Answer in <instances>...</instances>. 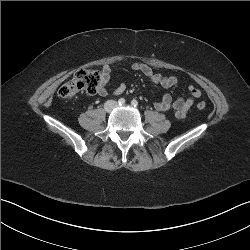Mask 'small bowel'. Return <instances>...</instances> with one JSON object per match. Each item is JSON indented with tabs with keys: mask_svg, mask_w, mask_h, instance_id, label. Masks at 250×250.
Wrapping results in <instances>:
<instances>
[{
	"mask_svg": "<svg viewBox=\"0 0 250 250\" xmlns=\"http://www.w3.org/2000/svg\"><path fill=\"white\" fill-rule=\"evenodd\" d=\"M131 69L146 76L152 86L161 85L164 88H171L176 86L178 83L177 77L165 76L163 74L156 73L150 66L144 63H134L131 65ZM111 73V67L109 65H104L101 70L102 82L96 91L101 97L108 95L106 85L111 81ZM125 89V84L121 83L113 90L112 94L118 96L122 94ZM200 95V90L197 87L191 85L188 87V96L186 98L173 100L171 95L165 94L159 101L154 103V108L161 112L172 111L177 118L183 119L187 116L191 106L194 103V100L198 99Z\"/></svg>",
	"mask_w": 250,
	"mask_h": 250,
	"instance_id": "c3829d8e",
	"label": "small bowel"
}]
</instances>
